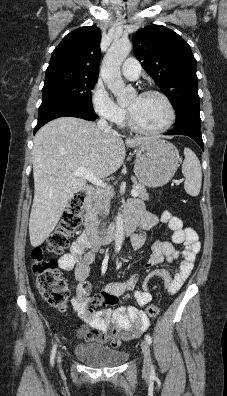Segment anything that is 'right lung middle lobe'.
I'll return each mask as SVG.
<instances>
[{"instance_id":"obj_1","label":"right lung middle lobe","mask_w":227,"mask_h":396,"mask_svg":"<svg viewBox=\"0 0 227 396\" xmlns=\"http://www.w3.org/2000/svg\"><path fill=\"white\" fill-rule=\"evenodd\" d=\"M98 76H88L67 71L46 72L42 90V104L69 101L84 109L94 111L92 92Z\"/></svg>"}]
</instances>
